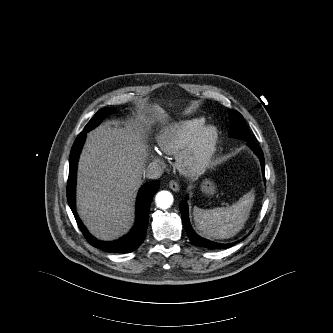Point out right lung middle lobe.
Here are the masks:
<instances>
[{"instance_id":"1","label":"right lung middle lobe","mask_w":333,"mask_h":333,"mask_svg":"<svg viewBox=\"0 0 333 333\" xmlns=\"http://www.w3.org/2000/svg\"><path fill=\"white\" fill-rule=\"evenodd\" d=\"M115 110L111 109V108H103L100 109L95 115L94 117L88 122V124L85 126L84 131L88 132L89 130L93 129L94 127H96L101 121L102 119L107 116L110 113H113Z\"/></svg>"}]
</instances>
